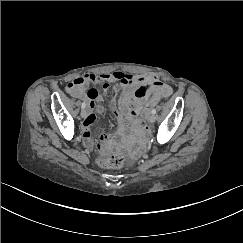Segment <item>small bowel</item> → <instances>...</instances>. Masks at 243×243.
<instances>
[{
	"instance_id": "1",
	"label": "small bowel",
	"mask_w": 243,
	"mask_h": 243,
	"mask_svg": "<svg viewBox=\"0 0 243 243\" xmlns=\"http://www.w3.org/2000/svg\"><path fill=\"white\" fill-rule=\"evenodd\" d=\"M118 81L114 86V93L124 89L120 100V111H116V100L111 101V108L120 122L132 125L137 123L134 118L142 113L148 112L162 98L171 94V88L162 83L157 75L147 73L143 75H131L119 71L102 74H84L73 78L67 85L66 90L73 97L84 98L88 101L89 111L81 124L84 142L88 147L93 146L92 126L96 121L94 111H102V107L96 103L99 101V93L96 89H88L90 83H103L107 89L109 83Z\"/></svg>"
}]
</instances>
